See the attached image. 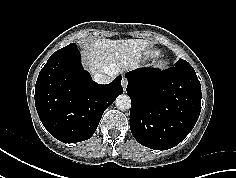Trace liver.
Wrapping results in <instances>:
<instances>
[{
  "mask_svg": "<svg viewBox=\"0 0 236 178\" xmlns=\"http://www.w3.org/2000/svg\"><path fill=\"white\" fill-rule=\"evenodd\" d=\"M148 46L141 39L94 40L84 46L85 64L92 74L122 73L138 66Z\"/></svg>",
  "mask_w": 236,
  "mask_h": 178,
  "instance_id": "6515ba94",
  "label": "liver"
}]
</instances>
